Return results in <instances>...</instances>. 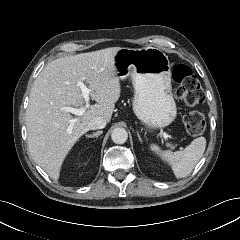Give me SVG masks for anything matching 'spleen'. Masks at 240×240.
I'll return each mask as SVG.
<instances>
[{
    "mask_svg": "<svg viewBox=\"0 0 240 240\" xmlns=\"http://www.w3.org/2000/svg\"><path fill=\"white\" fill-rule=\"evenodd\" d=\"M205 148L206 139L204 137L194 139L191 144L182 151H161L155 144L150 146L152 151L159 154L171 164L174 175L179 179L188 176L192 172L196 164L202 158Z\"/></svg>",
    "mask_w": 240,
    "mask_h": 240,
    "instance_id": "1",
    "label": "spleen"
}]
</instances>
